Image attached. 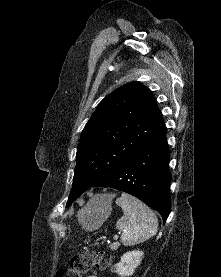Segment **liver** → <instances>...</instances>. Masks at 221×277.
Returning <instances> with one entry per match:
<instances>
[{
	"label": "liver",
	"instance_id": "obj_1",
	"mask_svg": "<svg viewBox=\"0 0 221 277\" xmlns=\"http://www.w3.org/2000/svg\"><path fill=\"white\" fill-rule=\"evenodd\" d=\"M103 199H106L108 201H111L113 198V195H108V196H102Z\"/></svg>",
	"mask_w": 221,
	"mask_h": 277
}]
</instances>
